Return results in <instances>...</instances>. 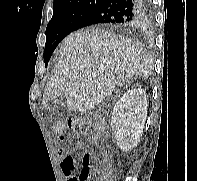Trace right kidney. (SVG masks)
Returning a JSON list of instances; mask_svg holds the SVG:
<instances>
[{
	"label": "right kidney",
	"instance_id": "1",
	"mask_svg": "<svg viewBox=\"0 0 197 181\" xmlns=\"http://www.w3.org/2000/svg\"><path fill=\"white\" fill-rule=\"evenodd\" d=\"M146 93L141 88L128 90L114 105L111 127L117 145L127 151L140 141L147 117Z\"/></svg>",
	"mask_w": 197,
	"mask_h": 181
}]
</instances>
